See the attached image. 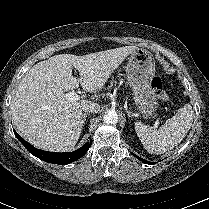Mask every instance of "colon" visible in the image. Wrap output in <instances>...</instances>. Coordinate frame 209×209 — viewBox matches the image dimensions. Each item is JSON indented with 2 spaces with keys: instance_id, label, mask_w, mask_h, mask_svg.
Here are the masks:
<instances>
[{
  "instance_id": "1",
  "label": "colon",
  "mask_w": 209,
  "mask_h": 209,
  "mask_svg": "<svg viewBox=\"0 0 209 209\" xmlns=\"http://www.w3.org/2000/svg\"><path fill=\"white\" fill-rule=\"evenodd\" d=\"M151 88H152V91H153L154 95L157 98H159L161 100H166L167 99V94L163 90V85H162V81H161L160 78L154 77L151 80Z\"/></svg>"
}]
</instances>
